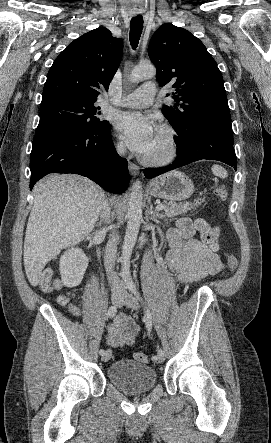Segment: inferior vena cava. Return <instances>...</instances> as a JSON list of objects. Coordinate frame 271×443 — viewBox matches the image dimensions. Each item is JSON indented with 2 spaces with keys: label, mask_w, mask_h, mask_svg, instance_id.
<instances>
[{
  "label": "inferior vena cava",
  "mask_w": 271,
  "mask_h": 443,
  "mask_svg": "<svg viewBox=\"0 0 271 443\" xmlns=\"http://www.w3.org/2000/svg\"><path fill=\"white\" fill-rule=\"evenodd\" d=\"M116 150L120 156H124L127 152V148L124 144V142H119L116 146ZM100 218L103 220V222L109 223L110 222V208L108 202H104L101 212H100ZM101 231H106V227H103ZM117 239L118 235H113V237H110L109 241H107L106 249H105V255H104V265L105 269L108 273V279H110L109 285L112 287V293L113 296H124L125 290L121 288L120 286V279L118 275H116L115 271H113L114 267V257L116 255L117 251Z\"/></svg>",
  "instance_id": "inferior-vena-cava-1"
}]
</instances>
